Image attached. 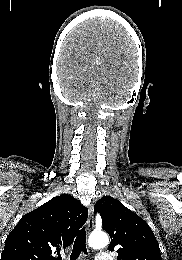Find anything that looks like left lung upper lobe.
Here are the masks:
<instances>
[{"label": "left lung upper lobe", "mask_w": 182, "mask_h": 260, "mask_svg": "<svg viewBox=\"0 0 182 260\" xmlns=\"http://www.w3.org/2000/svg\"><path fill=\"white\" fill-rule=\"evenodd\" d=\"M94 211L101 215L103 228L111 238L108 249H116L118 260H162L149 225L120 201L104 196L95 204Z\"/></svg>", "instance_id": "1"}]
</instances>
